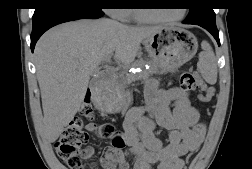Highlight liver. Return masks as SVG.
Listing matches in <instances>:
<instances>
[{
  "mask_svg": "<svg viewBox=\"0 0 252 169\" xmlns=\"http://www.w3.org/2000/svg\"><path fill=\"white\" fill-rule=\"evenodd\" d=\"M161 26L131 27L115 20L81 19L58 25L39 39L34 50L44 126L55 142L79 111L90 76L107 55L130 65L140 43Z\"/></svg>",
  "mask_w": 252,
  "mask_h": 169,
  "instance_id": "liver-1",
  "label": "liver"
}]
</instances>
